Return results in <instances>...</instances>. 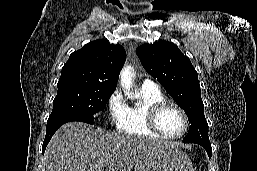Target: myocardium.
<instances>
[{"instance_id": "f54148a6", "label": "myocardium", "mask_w": 257, "mask_h": 171, "mask_svg": "<svg viewBox=\"0 0 257 171\" xmlns=\"http://www.w3.org/2000/svg\"><path fill=\"white\" fill-rule=\"evenodd\" d=\"M174 107L175 109H177L179 111V113L181 114L182 118H183V122H184V128L183 131L175 136L172 135H168L166 133H164L160 126H159V115L160 113L166 108V107ZM147 124L149 129L154 132L155 134H157L158 136H160L161 138L164 139H170V140H176V139H180L182 138L188 131L189 129V119L188 116L185 112V110L176 102H173L171 100H162L159 101L153 105L150 106L149 110H148V116H147Z\"/></svg>"}]
</instances>
